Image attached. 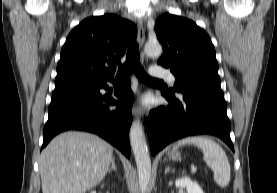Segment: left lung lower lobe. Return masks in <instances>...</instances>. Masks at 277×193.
<instances>
[{"label":"left lung lower lobe","mask_w":277,"mask_h":193,"mask_svg":"<svg viewBox=\"0 0 277 193\" xmlns=\"http://www.w3.org/2000/svg\"><path fill=\"white\" fill-rule=\"evenodd\" d=\"M178 93L179 98H175L162 92L170 105L149 114L146 127L152 155L177 139L198 134L215 135L234 151L220 84L200 83Z\"/></svg>","instance_id":"1"}]
</instances>
